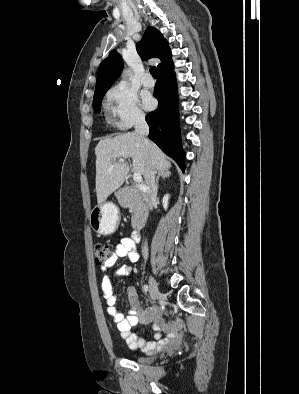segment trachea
Returning <instances> with one entry per match:
<instances>
[{"mask_svg": "<svg viewBox=\"0 0 299 394\" xmlns=\"http://www.w3.org/2000/svg\"><path fill=\"white\" fill-rule=\"evenodd\" d=\"M150 73L153 76V78H157V69H156V67H151L150 68Z\"/></svg>", "mask_w": 299, "mask_h": 394, "instance_id": "obj_1", "label": "trachea"}]
</instances>
